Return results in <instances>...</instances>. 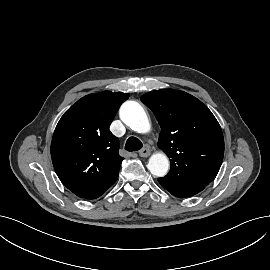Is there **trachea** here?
<instances>
[{
  "instance_id": "trachea-1",
  "label": "trachea",
  "mask_w": 270,
  "mask_h": 270,
  "mask_svg": "<svg viewBox=\"0 0 270 270\" xmlns=\"http://www.w3.org/2000/svg\"><path fill=\"white\" fill-rule=\"evenodd\" d=\"M142 147V142L136 137H129L125 145V149L129 152L138 151Z\"/></svg>"
}]
</instances>
